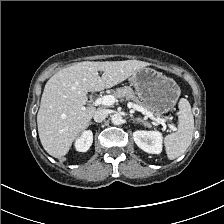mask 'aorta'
<instances>
[{"label": "aorta", "instance_id": "aorta-1", "mask_svg": "<svg viewBox=\"0 0 224 224\" xmlns=\"http://www.w3.org/2000/svg\"><path fill=\"white\" fill-rule=\"evenodd\" d=\"M111 121L114 125H120L123 123V118L120 114H114L111 117Z\"/></svg>", "mask_w": 224, "mask_h": 224}]
</instances>
